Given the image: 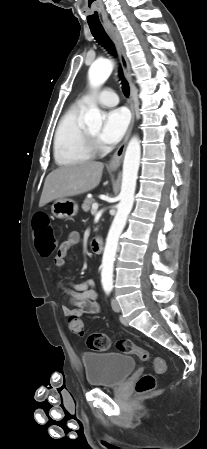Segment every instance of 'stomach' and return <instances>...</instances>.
<instances>
[{"instance_id": "obj_1", "label": "stomach", "mask_w": 207, "mask_h": 449, "mask_svg": "<svg viewBox=\"0 0 207 449\" xmlns=\"http://www.w3.org/2000/svg\"><path fill=\"white\" fill-rule=\"evenodd\" d=\"M115 169H112L114 171ZM53 216L59 219H70L78 212V205L72 199H57L51 207Z\"/></svg>"}]
</instances>
